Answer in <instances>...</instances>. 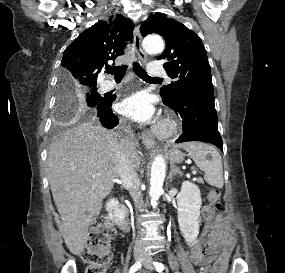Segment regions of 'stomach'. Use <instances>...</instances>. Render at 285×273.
I'll use <instances>...</instances> for the list:
<instances>
[{"instance_id":"obj_1","label":"stomach","mask_w":285,"mask_h":273,"mask_svg":"<svg viewBox=\"0 0 285 273\" xmlns=\"http://www.w3.org/2000/svg\"><path fill=\"white\" fill-rule=\"evenodd\" d=\"M168 156L171 161L173 162H182L184 158V154L176 148H172L168 152Z\"/></svg>"}]
</instances>
